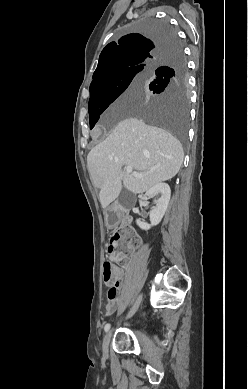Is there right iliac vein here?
<instances>
[{
    "label": "right iliac vein",
    "mask_w": 248,
    "mask_h": 389,
    "mask_svg": "<svg viewBox=\"0 0 248 389\" xmlns=\"http://www.w3.org/2000/svg\"><path fill=\"white\" fill-rule=\"evenodd\" d=\"M141 301H142V295H140V296L138 297V299L136 300V302H135L133 308L131 309V311H130L129 314L127 315V318H130V317L136 312V310L138 309V307H139ZM112 334H113V330H109V331L107 332V334L105 335V337H104L103 345H102L104 354H107V353H108L109 344H110V340H111V338H112Z\"/></svg>",
    "instance_id": "obj_1"
}]
</instances>
